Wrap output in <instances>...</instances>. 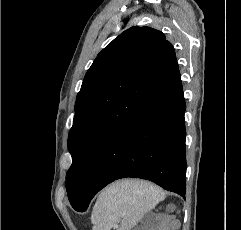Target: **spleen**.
I'll return each mask as SVG.
<instances>
[{
	"label": "spleen",
	"mask_w": 241,
	"mask_h": 230,
	"mask_svg": "<svg viewBox=\"0 0 241 230\" xmlns=\"http://www.w3.org/2000/svg\"><path fill=\"white\" fill-rule=\"evenodd\" d=\"M165 198L158 186L140 180H122L106 187L93 207V230H110L120 223L118 230H131Z\"/></svg>",
	"instance_id": "3e777b00"
}]
</instances>
